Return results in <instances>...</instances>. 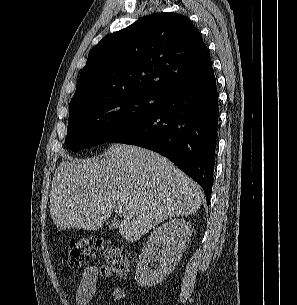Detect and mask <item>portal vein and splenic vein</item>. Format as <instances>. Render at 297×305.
I'll list each match as a JSON object with an SVG mask.
<instances>
[{
    "label": "portal vein and splenic vein",
    "instance_id": "portal-vein-and-splenic-vein-1",
    "mask_svg": "<svg viewBox=\"0 0 297 305\" xmlns=\"http://www.w3.org/2000/svg\"><path fill=\"white\" fill-rule=\"evenodd\" d=\"M115 211L119 216H124L125 215V210L122 206H116Z\"/></svg>",
    "mask_w": 297,
    "mask_h": 305
}]
</instances>
